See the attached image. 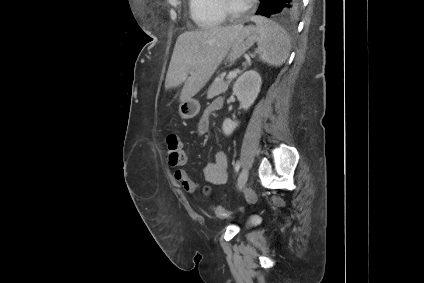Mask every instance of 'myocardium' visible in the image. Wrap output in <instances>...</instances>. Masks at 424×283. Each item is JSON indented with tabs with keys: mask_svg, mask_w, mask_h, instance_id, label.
Returning a JSON list of instances; mask_svg holds the SVG:
<instances>
[{
	"mask_svg": "<svg viewBox=\"0 0 424 283\" xmlns=\"http://www.w3.org/2000/svg\"><path fill=\"white\" fill-rule=\"evenodd\" d=\"M220 8L225 15L226 18L232 19V20H238L243 18L252 8V3H247L242 9L236 10L233 9L230 4L228 3V0H219Z\"/></svg>",
	"mask_w": 424,
	"mask_h": 283,
	"instance_id": "1",
	"label": "myocardium"
}]
</instances>
